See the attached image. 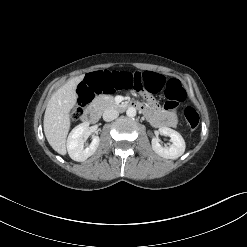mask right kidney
<instances>
[{"label":"right kidney","mask_w":247,"mask_h":247,"mask_svg":"<svg viewBox=\"0 0 247 247\" xmlns=\"http://www.w3.org/2000/svg\"><path fill=\"white\" fill-rule=\"evenodd\" d=\"M89 132V123L84 122L76 126L67 139L68 154L74 161L82 162L92 156L99 146L100 139L93 136L92 142L85 147L84 137Z\"/></svg>","instance_id":"1"}]
</instances>
